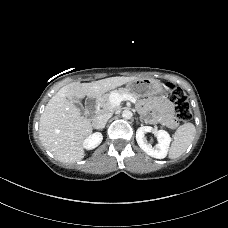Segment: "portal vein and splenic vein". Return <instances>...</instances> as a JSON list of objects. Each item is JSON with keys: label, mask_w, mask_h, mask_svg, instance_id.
<instances>
[{"label": "portal vein and splenic vein", "mask_w": 228, "mask_h": 228, "mask_svg": "<svg viewBox=\"0 0 228 228\" xmlns=\"http://www.w3.org/2000/svg\"><path fill=\"white\" fill-rule=\"evenodd\" d=\"M124 100L135 102V98L132 97L130 94H123V95L113 94L110 98L111 108H114V107L120 105V103Z\"/></svg>", "instance_id": "portal-vein-and-splenic-vein-1"}]
</instances>
